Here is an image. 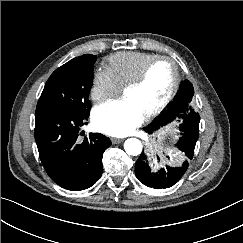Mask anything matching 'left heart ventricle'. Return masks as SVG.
<instances>
[{
	"instance_id": "left-heart-ventricle-1",
	"label": "left heart ventricle",
	"mask_w": 243,
	"mask_h": 243,
	"mask_svg": "<svg viewBox=\"0 0 243 243\" xmlns=\"http://www.w3.org/2000/svg\"><path fill=\"white\" fill-rule=\"evenodd\" d=\"M174 83V69L170 62L155 64L145 82L136 89L127 90L124 98L132 101L146 116L166 99Z\"/></svg>"
}]
</instances>
